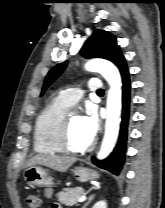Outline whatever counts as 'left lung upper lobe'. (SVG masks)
Returning a JSON list of instances; mask_svg holds the SVG:
<instances>
[{
  "mask_svg": "<svg viewBox=\"0 0 165 208\" xmlns=\"http://www.w3.org/2000/svg\"><path fill=\"white\" fill-rule=\"evenodd\" d=\"M85 58H104L115 65L123 58L116 38L111 33L103 30H95L81 50ZM66 62L54 66L47 74L42 93L63 72Z\"/></svg>",
  "mask_w": 165,
  "mask_h": 208,
  "instance_id": "1",
  "label": "left lung upper lobe"
}]
</instances>
